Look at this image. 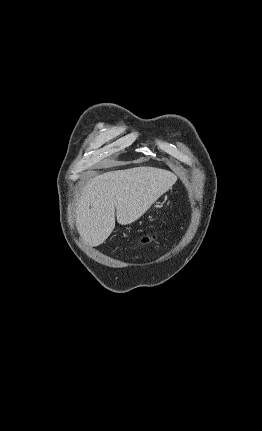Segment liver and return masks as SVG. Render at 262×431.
I'll use <instances>...</instances> for the list:
<instances>
[{
  "mask_svg": "<svg viewBox=\"0 0 262 431\" xmlns=\"http://www.w3.org/2000/svg\"><path fill=\"white\" fill-rule=\"evenodd\" d=\"M176 180L172 172L148 166L94 177L78 198L76 225L81 238L90 246L104 243L115 228V210L119 224H131L170 190Z\"/></svg>",
  "mask_w": 262,
  "mask_h": 431,
  "instance_id": "1",
  "label": "liver"
}]
</instances>
